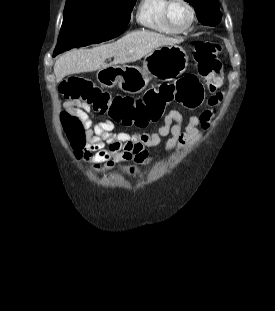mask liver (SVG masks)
Masks as SVG:
<instances>
[{"instance_id":"liver-1","label":"liver","mask_w":275,"mask_h":311,"mask_svg":"<svg viewBox=\"0 0 275 311\" xmlns=\"http://www.w3.org/2000/svg\"><path fill=\"white\" fill-rule=\"evenodd\" d=\"M179 40L152 31H134L118 41L92 49L72 50L60 56L54 65L56 81L71 74L91 72L108 67L107 58L113 57L111 65L140 60L156 48L173 45Z\"/></svg>"}]
</instances>
